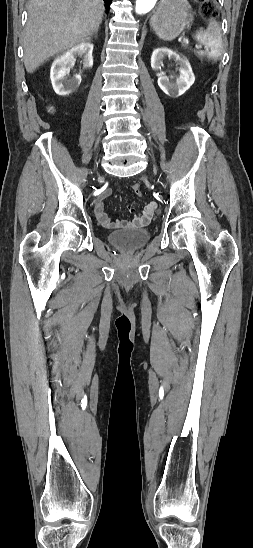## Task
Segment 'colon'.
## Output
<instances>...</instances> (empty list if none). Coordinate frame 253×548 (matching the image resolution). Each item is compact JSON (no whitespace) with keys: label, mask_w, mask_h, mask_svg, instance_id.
Listing matches in <instances>:
<instances>
[{"label":"colon","mask_w":253,"mask_h":548,"mask_svg":"<svg viewBox=\"0 0 253 548\" xmlns=\"http://www.w3.org/2000/svg\"><path fill=\"white\" fill-rule=\"evenodd\" d=\"M201 15L208 19L216 14V7L213 0H201V7H200ZM133 191L137 196L142 195V191L139 184L133 185Z\"/></svg>","instance_id":"1"}]
</instances>
